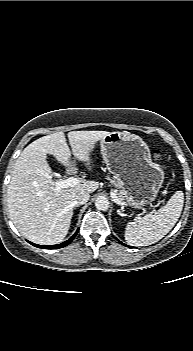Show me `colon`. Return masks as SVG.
<instances>
[{"label":"colon","mask_w":193,"mask_h":351,"mask_svg":"<svg viewBox=\"0 0 193 351\" xmlns=\"http://www.w3.org/2000/svg\"><path fill=\"white\" fill-rule=\"evenodd\" d=\"M154 157H155L156 159H159V158H160V153H159L158 151H155Z\"/></svg>","instance_id":"colon-1"}]
</instances>
